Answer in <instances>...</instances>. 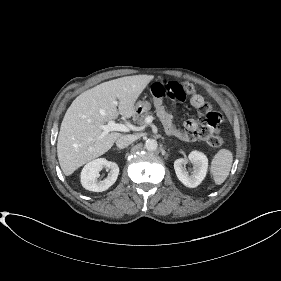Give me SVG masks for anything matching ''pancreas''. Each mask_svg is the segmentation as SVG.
<instances>
[{
    "label": "pancreas",
    "mask_w": 281,
    "mask_h": 281,
    "mask_svg": "<svg viewBox=\"0 0 281 281\" xmlns=\"http://www.w3.org/2000/svg\"><path fill=\"white\" fill-rule=\"evenodd\" d=\"M150 114H151V112H145V113L141 114L140 116H137V117L135 118V120H136V122H137L139 125L143 126V125H145V119H146Z\"/></svg>",
    "instance_id": "pancreas-1"
}]
</instances>
